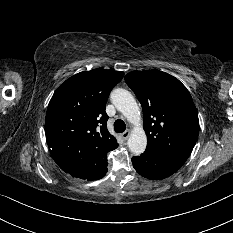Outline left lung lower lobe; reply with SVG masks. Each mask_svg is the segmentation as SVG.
<instances>
[{
    "label": "left lung lower lobe",
    "instance_id": "1",
    "mask_svg": "<svg viewBox=\"0 0 233 233\" xmlns=\"http://www.w3.org/2000/svg\"><path fill=\"white\" fill-rule=\"evenodd\" d=\"M135 170L143 177L159 180L175 173L184 163L176 157L146 150L140 156L132 157Z\"/></svg>",
    "mask_w": 233,
    "mask_h": 233
}]
</instances>
